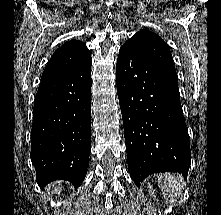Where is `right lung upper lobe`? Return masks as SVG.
<instances>
[{
	"instance_id": "right-lung-upper-lobe-1",
	"label": "right lung upper lobe",
	"mask_w": 221,
	"mask_h": 215,
	"mask_svg": "<svg viewBox=\"0 0 221 215\" xmlns=\"http://www.w3.org/2000/svg\"><path fill=\"white\" fill-rule=\"evenodd\" d=\"M90 57L86 45L78 40H71L59 47L50 58L41 80L64 74Z\"/></svg>"
}]
</instances>
